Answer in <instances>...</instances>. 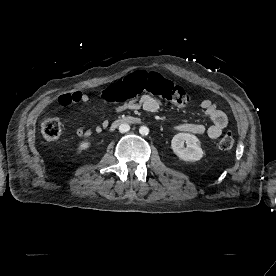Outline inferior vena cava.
<instances>
[{
    "instance_id": "1",
    "label": "inferior vena cava",
    "mask_w": 276,
    "mask_h": 276,
    "mask_svg": "<svg viewBox=\"0 0 276 276\" xmlns=\"http://www.w3.org/2000/svg\"><path fill=\"white\" fill-rule=\"evenodd\" d=\"M130 130V126L128 124H121L119 126V131L121 133H125V132H128Z\"/></svg>"
}]
</instances>
